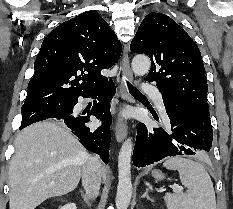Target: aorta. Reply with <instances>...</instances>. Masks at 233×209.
Wrapping results in <instances>:
<instances>
[{
    "instance_id": "762f6f07",
    "label": "aorta",
    "mask_w": 233,
    "mask_h": 209,
    "mask_svg": "<svg viewBox=\"0 0 233 209\" xmlns=\"http://www.w3.org/2000/svg\"><path fill=\"white\" fill-rule=\"evenodd\" d=\"M150 60L145 55H136L132 59V70L135 75H146L150 70ZM133 142L131 138L125 140L118 156V186L116 194L117 209H127L132 196L131 155Z\"/></svg>"
}]
</instances>
